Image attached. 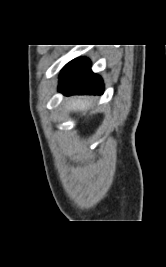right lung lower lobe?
<instances>
[{"label":"right lung lower lobe","mask_w":166,"mask_h":267,"mask_svg":"<svg viewBox=\"0 0 166 267\" xmlns=\"http://www.w3.org/2000/svg\"><path fill=\"white\" fill-rule=\"evenodd\" d=\"M59 92L64 95H100L104 92L103 80L91 71V62L77 58L69 62L60 74Z\"/></svg>","instance_id":"1"}]
</instances>
